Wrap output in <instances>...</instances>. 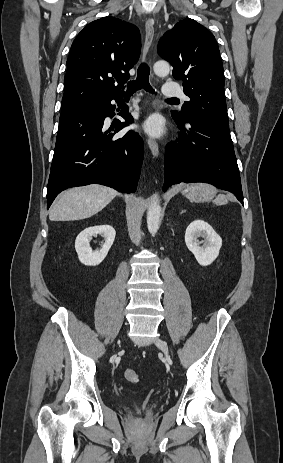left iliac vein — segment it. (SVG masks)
<instances>
[{
	"label": "left iliac vein",
	"instance_id": "4c4485c4",
	"mask_svg": "<svg viewBox=\"0 0 283 463\" xmlns=\"http://www.w3.org/2000/svg\"><path fill=\"white\" fill-rule=\"evenodd\" d=\"M155 344L165 354L166 357H169L167 345L163 340L157 339Z\"/></svg>",
	"mask_w": 283,
	"mask_h": 463
}]
</instances>
